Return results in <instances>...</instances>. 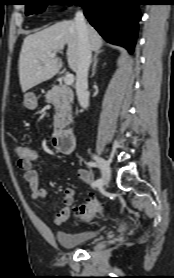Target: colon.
<instances>
[{
    "label": "colon",
    "mask_w": 174,
    "mask_h": 278,
    "mask_svg": "<svg viewBox=\"0 0 174 278\" xmlns=\"http://www.w3.org/2000/svg\"><path fill=\"white\" fill-rule=\"evenodd\" d=\"M15 153L19 159H34L37 157L36 150L26 146L16 147ZM101 210V201L95 197H91L82 205L77 206L73 211V215L77 220L86 221L100 215Z\"/></svg>",
    "instance_id": "obj_1"
}]
</instances>
